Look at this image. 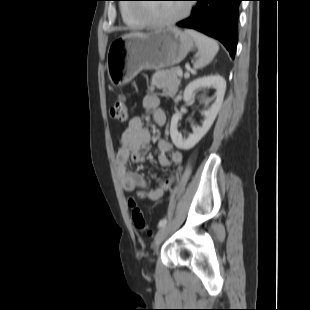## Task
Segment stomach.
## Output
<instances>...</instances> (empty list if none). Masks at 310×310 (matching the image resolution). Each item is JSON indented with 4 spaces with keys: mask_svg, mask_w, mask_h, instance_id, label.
<instances>
[{
    "mask_svg": "<svg viewBox=\"0 0 310 310\" xmlns=\"http://www.w3.org/2000/svg\"><path fill=\"white\" fill-rule=\"evenodd\" d=\"M193 48L192 37L175 27L117 38L108 48V78L116 87L125 85L142 70H159L180 63Z\"/></svg>",
    "mask_w": 310,
    "mask_h": 310,
    "instance_id": "obj_1",
    "label": "stomach"
}]
</instances>
